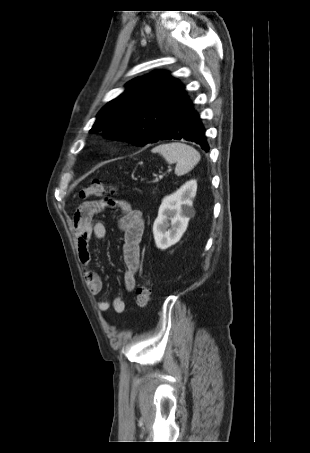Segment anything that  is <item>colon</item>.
<instances>
[{
	"label": "colon",
	"instance_id": "1",
	"mask_svg": "<svg viewBox=\"0 0 310 453\" xmlns=\"http://www.w3.org/2000/svg\"><path fill=\"white\" fill-rule=\"evenodd\" d=\"M106 192L113 193L114 187L107 185L102 181L94 180L80 190L79 197L81 199H88L95 196H102ZM150 295L151 289L148 281L139 283L135 293L136 306L140 309H144L149 303Z\"/></svg>",
	"mask_w": 310,
	"mask_h": 453
}]
</instances>
